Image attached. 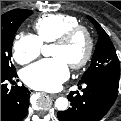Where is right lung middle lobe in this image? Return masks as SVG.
Instances as JSON below:
<instances>
[{
  "instance_id": "obj_1",
  "label": "right lung middle lobe",
  "mask_w": 121,
  "mask_h": 121,
  "mask_svg": "<svg viewBox=\"0 0 121 121\" xmlns=\"http://www.w3.org/2000/svg\"><path fill=\"white\" fill-rule=\"evenodd\" d=\"M32 13L31 10L15 9L1 16V74L16 73L11 62L13 39L21 23Z\"/></svg>"
}]
</instances>
